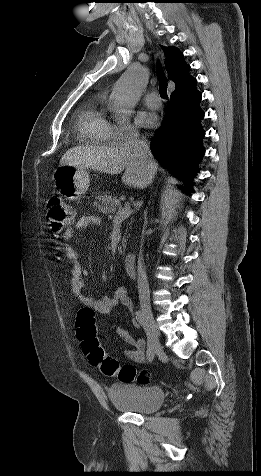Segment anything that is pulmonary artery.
Wrapping results in <instances>:
<instances>
[{
	"label": "pulmonary artery",
	"mask_w": 261,
	"mask_h": 476,
	"mask_svg": "<svg viewBox=\"0 0 261 476\" xmlns=\"http://www.w3.org/2000/svg\"><path fill=\"white\" fill-rule=\"evenodd\" d=\"M144 102L150 108L157 109L160 107V99L156 92L147 93L144 97Z\"/></svg>",
	"instance_id": "1"
}]
</instances>
